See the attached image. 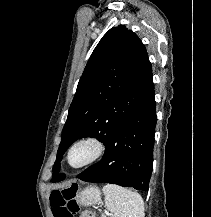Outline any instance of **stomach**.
Instances as JSON below:
<instances>
[{
    "instance_id": "stomach-1",
    "label": "stomach",
    "mask_w": 211,
    "mask_h": 217,
    "mask_svg": "<svg viewBox=\"0 0 211 217\" xmlns=\"http://www.w3.org/2000/svg\"><path fill=\"white\" fill-rule=\"evenodd\" d=\"M101 200V192L95 186L86 187L77 195V201L84 206H91L99 203Z\"/></svg>"
}]
</instances>
